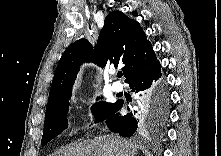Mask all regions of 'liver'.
I'll use <instances>...</instances> for the list:
<instances>
[{
  "mask_svg": "<svg viewBox=\"0 0 221 156\" xmlns=\"http://www.w3.org/2000/svg\"><path fill=\"white\" fill-rule=\"evenodd\" d=\"M137 148L121 137L104 136L71 144L54 156H135Z\"/></svg>",
  "mask_w": 221,
  "mask_h": 156,
  "instance_id": "1",
  "label": "liver"
}]
</instances>
